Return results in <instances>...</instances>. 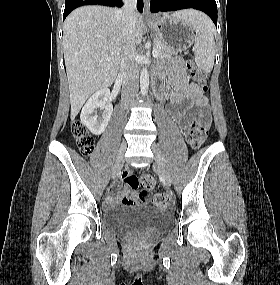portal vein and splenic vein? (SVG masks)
<instances>
[{
    "label": "portal vein and splenic vein",
    "instance_id": "obj_1",
    "mask_svg": "<svg viewBox=\"0 0 280 285\" xmlns=\"http://www.w3.org/2000/svg\"><path fill=\"white\" fill-rule=\"evenodd\" d=\"M152 55H153V57H157L158 56V50L154 48L152 51ZM106 60L109 61L110 58H106Z\"/></svg>",
    "mask_w": 280,
    "mask_h": 285
}]
</instances>
